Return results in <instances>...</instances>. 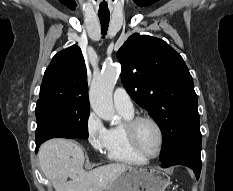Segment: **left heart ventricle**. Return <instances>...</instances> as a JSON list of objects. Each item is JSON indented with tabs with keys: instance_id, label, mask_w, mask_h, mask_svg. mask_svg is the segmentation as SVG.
<instances>
[{
	"instance_id": "left-heart-ventricle-1",
	"label": "left heart ventricle",
	"mask_w": 233,
	"mask_h": 191,
	"mask_svg": "<svg viewBox=\"0 0 233 191\" xmlns=\"http://www.w3.org/2000/svg\"><path fill=\"white\" fill-rule=\"evenodd\" d=\"M138 144L144 154L153 156L158 149L159 137L158 132L150 122H142L137 130Z\"/></svg>"
}]
</instances>
